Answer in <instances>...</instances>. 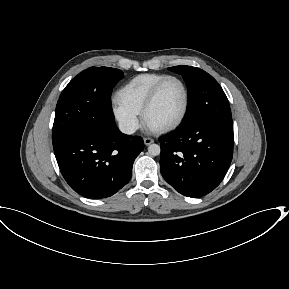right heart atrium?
Wrapping results in <instances>:
<instances>
[{
    "label": "right heart atrium",
    "mask_w": 289,
    "mask_h": 289,
    "mask_svg": "<svg viewBox=\"0 0 289 289\" xmlns=\"http://www.w3.org/2000/svg\"><path fill=\"white\" fill-rule=\"evenodd\" d=\"M112 113L116 121L118 122L122 131L127 134H133L140 125L139 114L126 108L118 101H115L112 105Z\"/></svg>",
    "instance_id": "right-heart-atrium-1"
}]
</instances>
